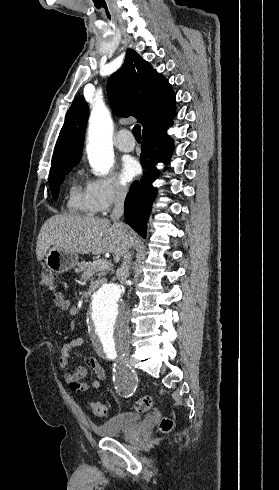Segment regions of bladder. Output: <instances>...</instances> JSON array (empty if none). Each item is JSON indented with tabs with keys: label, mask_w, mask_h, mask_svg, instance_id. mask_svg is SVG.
I'll use <instances>...</instances> for the list:
<instances>
[{
	"label": "bladder",
	"mask_w": 279,
	"mask_h": 490,
	"mask_svg": "<svg viewBox=\"0 0 279 490\" xmlns=\"http://www.w3.org/2000/svg\"><path fill=\"white\" fill-rule=\"evenodd\" d=\"M142 421V416L131 411H123L98 424L94 431L99 437H112L121 435L124 431H134Z\"/></svg>",
	"instance_id": "obj_1"
}]
</instances>
